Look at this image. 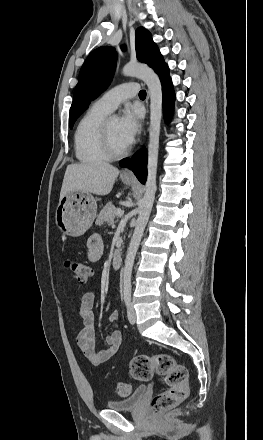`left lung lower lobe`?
Masks as SVG:
<instances>
[{
  "label": "left lung lower lobe",
  "instance_id": "obj_1",
  "mask_svg": "<svg viewBox=\"0 0 263 440\" xmlns=\"http://www.w3.org/2000/svg\"><path fill=\"white\" fill-rule=\"evenodd\" d=\"M159 75L162 83L163 90V107L165 110V119L169 120L173 113V106L175 100V94L171 78L169 76L168 66L166 64L161 65L155 70ZM121 167L131 166L134 174L137 176L141 183H145L147 171H146V154L143 150L136 153L132 159L126 158L120 162Z\"/></svg>",
  "mask_w": 263,
  "mask_h": 440
}]
</instances>
